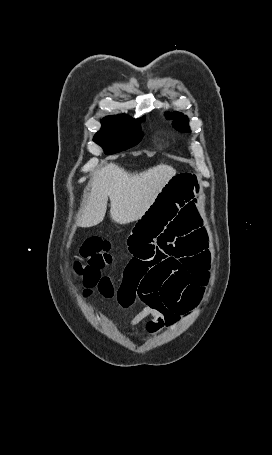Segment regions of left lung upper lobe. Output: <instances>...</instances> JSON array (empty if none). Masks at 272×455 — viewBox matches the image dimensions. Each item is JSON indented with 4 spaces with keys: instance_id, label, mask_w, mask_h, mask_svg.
<instances>
[{
    "instance_id": "obj_1",
    "label": "left lung upper lobe",
    "mask_w": 272,
    "mask_h": 455,
    "mask_svg": "<svg viewBox=\"0 0 272 455\" xmlns=\"http://www.w3.org/2000/svg\"><path fill=\"white\" fill-rule=\"evenodd\" d=\"M166 118L175 119L173 125L177 130L181 132H190L188 118L187 116H184L182 113L179 112L167 113Z\"/></svg>"
}]
</instances>
